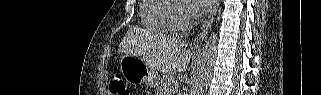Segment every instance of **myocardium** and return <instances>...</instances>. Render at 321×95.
Returning <instances> with one entry per match:
<instances>
[{"label": "myocardium", "instance_id": "myocardium-1", "mask_svg": "<svg viewBox=\"0 0 321 95\" xmlns=\"http://www.w3.org/2000/svg\"><path fill=\"white\" fill-rule=\"evenodd\" d=\"M186 14L185 6L179 2H176L171 13V21L175 29L185 31L191 28V20Z\"/></svg>", "mask_w": 321, "mask_h": 95}]
</instances>
